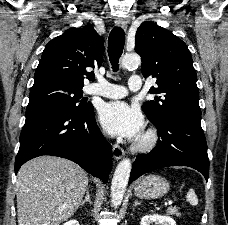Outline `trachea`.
Here are the masks:
<instances>
[{
  "mask_svg": "<svg viewBox=\"0 0 228 225\" xmlns=\"http://www.w3.org/2000/svg\"><path fill=\"white\" fill-rule=\"evenodd\" d=\"M124 44V30L118 26L114 27L108 39V56L114 72L119 69V58L122 55Z\"/></svg>",
  "mask_w": 228,
  "mask_h": 225,
  "instance_id": "1",
  "label": "trachea"
}]
</instances>
